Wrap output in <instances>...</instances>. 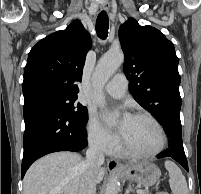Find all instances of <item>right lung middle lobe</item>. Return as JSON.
I'll use <instances>...</instances> for the list:
<instances>
[{
    "instance_id": "dd1d6c3e",
    "label": "right lung middle lobe",
    "mask_w": 201,
    "mask_h": 194,
    "mask_svg": "<svg viewBox=\"0 0 201 194\" xmlns=\"http://www.w3.org/2000/svg\"><path fill=\"white\" fill-rule=\"evenodd\" d=\"M61 108L67 115L80 124L86 125L88 120L87 108L80 103L74 104L77 97H68L60 95H44L36 98Z\"/></svg>"
}]
</instances>
